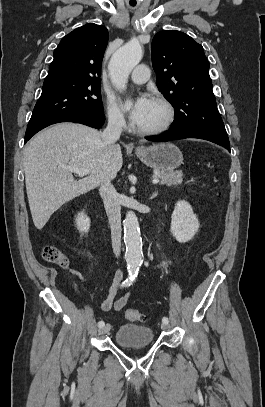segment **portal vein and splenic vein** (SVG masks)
Wrapping results in <instances>:
<instances>
[{"label":"portal vein and splenic vein","mask_w":265,"mask_h":407,"mask_svg":"<svg viewBox=\"0 0 265 407\" xmlns=\"http://www.w3.org/2000/svg\"><path fill=\"white\" fill-rule=\"evenodd\" d=\"M64 168L67 169V170H69V171H71V172H73V173L78 174L79 176H85V175L89 174V170H87V169H80V168L72 167V166H65ZM152 183H153V184L159 183V179H158V178H154V179L152 180Z\"/></svg>","instance_id":"1"}]
</instances>
